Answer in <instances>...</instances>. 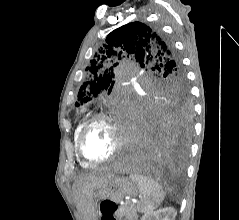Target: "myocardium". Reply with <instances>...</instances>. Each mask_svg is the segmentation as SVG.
<instances>
[{"label":"myocardium","mask_w":239,"mask_h":220,"mask_svg":"<svg viewBox=\"0 0 239 220\" xmlns=\"http://www.w3.org/2000/svg\"><path fill=\"white\" fill-rule=\"evenodd\" d=\"M98 123H107L113 127V129L115 130L116 135H117V143H116V147H115L114 151L108 157H106L104 159L97 160V159L90 158L86 154L85 148H84V142H85V138H86V135L89 132V130L94 125H96ZM122 147H123L122 133L120 131L119 126L116 124L115 119L111 116L102 115V114L93 116L91 119H89L87 122L84 123V125L79 133L78 143H77L78 153H79L80 157L83 159V161H85L86 163H88L90 165L104 164V163H107V162L113 160L117 156V154L120 152Z\"/></svg>","instance_id":"myocardium-1"}]
</instances>
